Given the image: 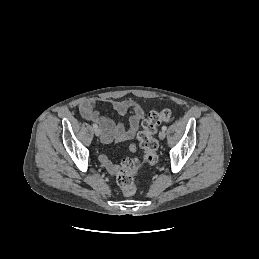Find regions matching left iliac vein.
I'll return each instance as SVG.
<instances>
[{
	"label": "left iliac vein",
	"instance_id": "1",
	"mask_svg": "<svg viewBox=\"0 0 259 259\" xmlns=\"http://www.w3.org/2000/svg\"><path fill=\"white\" fill-rule=\"evenodd\" d=\"M165 136H166V133H165V131H160L159 132V138L161 139V140H163L164 138H165Z\"/></svg>",
	"mask_w": 259,
	"mask_h": 259
}]
</instances>
